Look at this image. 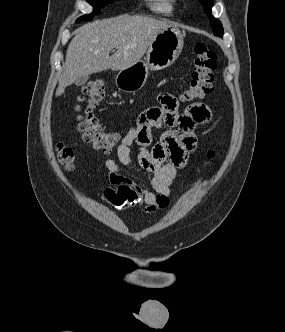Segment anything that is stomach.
Here are the masks:
<instances>
[{
    "mask_svg": "<svg viewBox=\"0 0 285 332\" xmlns=\"http://www.w3.org/2000/svg\"><path fill=\"white\" fill-rule=\"evenodd\" d=\"M183 45V34L177 27L162 30L150 44L145 61L119 71L115 79L119 90H140L146 83L149 70H162L172 65L179 57Z\"/></svg>",
    "mask_w": 285,
    "mask_h": 332,
    "instance_id": "1",
    "label": "stomach"
}]
</instances>
